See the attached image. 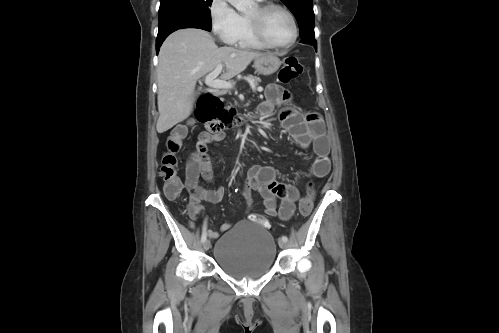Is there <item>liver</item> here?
<instances>
[{
	"mask_svg": "<svg viewBox=\"0 0 499 333\" xmlns=\"http://www.w3.org/2000/svg\"><path fill=\"white\" fill-rule=\"evenodd\" d=\"M265 53L218 47L212 36L197 28L180 29L167 37L157 67L158 111L156 129L163 133L188 118L193 110L196 82L224 64L227 80Z\"/></svg>",
	"mask_w": 499,
	"mask_h": 333,
	"instance_id": "1",
	"label": "liver"
}]
</instances>
